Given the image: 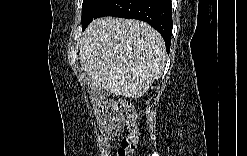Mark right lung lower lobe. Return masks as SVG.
I'll return each instance as SVG.
<instances>
[{"instance_id":"right-lung-lower-lobe-1","label":"right lung lower lobe","mask_w":247,"mask_h":156,"mask_svg":"<svg viewBox=\"0 0 247 156\" xmlns=\"http://www.w3.org/2000/svg\"><path fill=\"white\" fill-rule=\"evenodd\" d=\"M102 16L147 22L161 34L169 52L173 27L171 0H108L95 18Z\"/></svg>"}]
</instances>
